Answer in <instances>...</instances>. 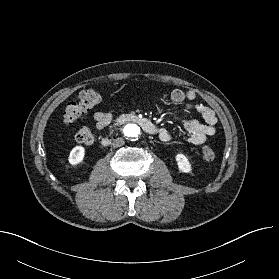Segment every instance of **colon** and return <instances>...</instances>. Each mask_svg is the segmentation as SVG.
<instances>
[{
    "label": "colon",
    "mask_w": 279,
    "mask_h": 279,
    "mask_svg": "<svg viewBox=\"0 0 279 279\" xmlns=\"http://www.w3.org/2000/svg\"><path fill=\"white\" fill-rule=\"evenodd\" d=\"M101 101V95L93 90L86 89L79 93L77 100L67 103L63 111V121L66 125H73L81 117L95 107ZM93 134L87 127L80 128L76 133V140L82 144H91L93 142ZM201 158L204 161H212L215 158L214 150L205 145L201 149Z\"/></svg>",
    "instance_id": "5ec220e1"
}]
</instances>
